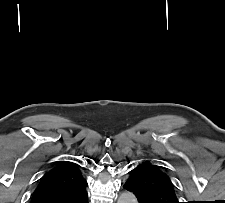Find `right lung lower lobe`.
<instances>
[{
  "label": "right lung lower lobe",
  "instance_id": "obj_1",
  "mask_svg": "<svg viewBox=\"0 0 225 203\" xmlns=\"http://www.w3.org/2000/svg\"><path fill=\"white\" fill-rule=\"evenodd\" d=\"M75 203H88V196L87 194L84 195V197L80 198L78 201H76Z\"/></svg>",
  "mask_w": 225,
  "mask_h": 203
}]
</instances>
